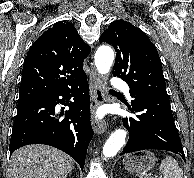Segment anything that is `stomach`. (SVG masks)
Segmentation results:
<instances>
[{
    "instance_id": "1",
    "label": "stomach",
    "mask_w": 194,
    "mask_h": 178,
    "mask_svg": "<svg viewBox=\"0 0 194 178\" xmlns=\"http://www.w3.org/2000/svg\"><path fill=\"white\" fill-rule=\"evenodd\" d=\"M156 162V157L151 151H142L137 154L126 155L123 159L124 168L129 172H148Z\"/></svg>"
}]
</instances>
